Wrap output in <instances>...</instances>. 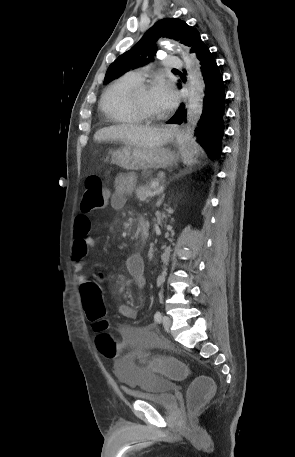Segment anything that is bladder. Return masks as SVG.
<instances>
[{"mask_svg": "<svg viewBox=\"0 0 295 457\" xmlns=\"http://www.w3.org/2000/svg\"><path fill=\"white\" fill-rule=\"evenodd\" d=\"M153 347L156 351L169 354V345L161 346L155 343ZM143 350L148 348L146 343L141 345ZM124 358L117 360L114 364V374L118 382L124 386L131 396L153 402L165 411H176L178 400L176 395L170 390L172 378H163L162 374H147L145 366H140L139 359H134L138 348L134 345H127Z\"/></svg>", "mask_w": 295, "mask_h": 457, "instance_id": "obj_1", "label": "bladder"}]
</instances>
